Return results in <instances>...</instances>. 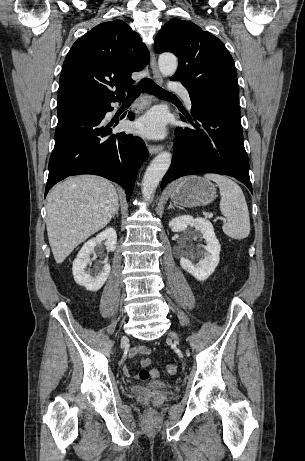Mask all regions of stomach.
Masks as SVG:
<instances>
[{
	"instance_id": "stomach-1",
	"label": "stomach",
	"mask_w": 305,
	"mask_h": 461,
	"mask_svg": "<svg viewBox=\"0 0 305 461\" xmlns=\"http://www.w3.org/2000/svg\"><path fill=\"white\" fill-rule=\"evenodd\" d=\"M171 200L184 207L205 206L216 197V186L210 181L199 176L185 177L169 190Z\"/></svg>"
}]
</instances>
